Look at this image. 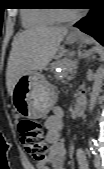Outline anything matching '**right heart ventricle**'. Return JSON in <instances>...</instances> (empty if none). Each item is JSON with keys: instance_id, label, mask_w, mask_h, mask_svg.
<instances>
[{"instance_id": "right-heart-ventricle-1", "label": "right heart ventricle", "mask_w": 104, "mask_h": 169, "mask_svg": "<svg viewBox=\"0 0 104 169\" xmlns=\"http://www.w3.org/2000/svg\"><path fill=\"white\" fill-rule=\"evenodd\" d=\"M23 23L28 27L52 25L57 19L49 9L26 10L22 12Z\"/></svg>"}]
</instances>
